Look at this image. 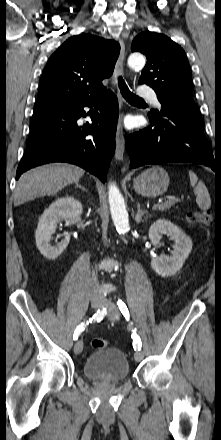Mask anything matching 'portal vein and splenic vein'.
I'll return each mask as SVG.
<instances>
[{
    "label": "portal vein and splenic vein",
    "mask_w": 221,
    "mask_h": 440,
    "mask_svg": "<svg viewBox=\"0 0 221 440\" xmlns=\"http://www.w3.org/2000/svg\"><path fill=\"white\" fill-rule=\"evenodd\" d=\"M158 205H159V204H154L153 207H152V209H153V210H156L157 207H158Z\"/></svg>",
    "instance_id": "obj_1"
}]
</instances>
